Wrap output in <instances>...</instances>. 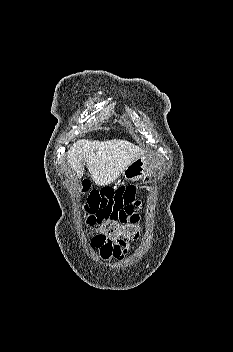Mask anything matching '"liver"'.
I'll return each instance as SVG.
<instances>
[{
  "label": "liver",
  "mask_w": 233,
  "mask_h": 352,
  "mask_svg": "<svg viewBox=\"0 0 233 352\" xmlns=\"http://www.w3.org/2000/svg\"><path fill=\"white\" fill-rule=\"evenodd\" d=\"M144 154V150L125 140L89 141L78 140L67 152L68 164L77 178L84 173V164L92 180L100 186L113 183L124 170L137 158Z\"/></svg>",
  "instance_id": "1"
}]
</instances>
